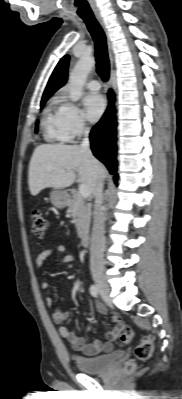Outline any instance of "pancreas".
Instances as JSON below:
<instances>
[{
  "mask_svg": "<svg viewBox=\"0 0 182 399\" xmlns=\"http://www.w3.org/2000/svg\"><path fill=\"white\" fill-rule=\"evenodd\" d=\"M68 213L73 218L80 238H84L89 232L90 226V205L77 192L73 191V199L69 205Z\"/></svg>",
  "mask_w": 182,
  "mask_h": 399,
  "instance_id": "pancreas-1",
  "label": "pancreas"
}]
</instances>
